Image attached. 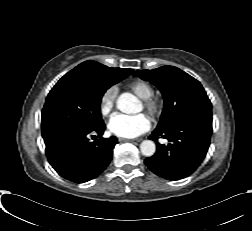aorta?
<instances>
[{
  "instance_id": "762f6f07",
  "label": "aorta",
  "mask_w": 252,
  "mask_h": 231,
  "mask_svg": "<svg viewBox=\"0 0 252 231\" xmlns=\"http://www.w3.org/2000/svg\"><path fill=\"white\" fill-rule=\"evenodd\" d=\"M117 108L126 114H133L138 111L139 101L131 93H123L117 99ZM141 153L146 157H151L156 151V145L152 140H144L140 144Z\"/></svg>"
}]
</instances>
